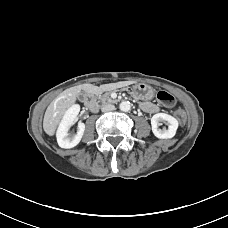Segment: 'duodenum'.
<instances>
[{
	"label": "duodenum",
	"mask_w": 228,
	"mask_h": 228,
	"mask_svg": "<svg viewBox=\"0 0 228 228\" xmlns=\"http://www.w3.org/2000/svg\"><path fill=\"white\" fill-rule=\"evenodd\" d=\"M85 104L92 111H96L98 108L97 100H96V98H95V96L91 90L86 92Z\"/></svg>",
	"instance_id": "1"
}]
</instances>
